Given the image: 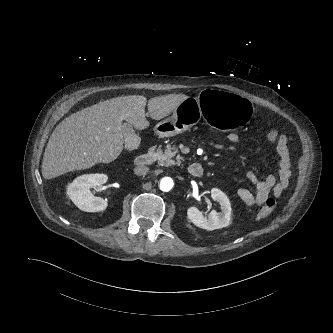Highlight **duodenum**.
I'll return each mask as SVG.
<instances>
[{"instance_id": "410a0bca", "label": "duodenum", "mask_w": 333, "mask_h": 333, "mask_svg": "<svg viewBox=\"0 0 333 333\" xmlns=\"http://www.w3.org/2000/svg\"><path fill=\"white\" fill-rule=\"evenodd\" d=\"M153 160H154L153 153H149L146 155H140L136 159L135 166L140 172H142L150 164H152ZM188 171H189L190 175L195 178L202 177L203 172H204L202 165L198 162H194V163L190 164Z\"/></svg>"}]
</instances>
